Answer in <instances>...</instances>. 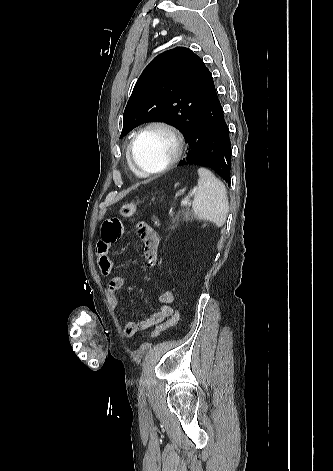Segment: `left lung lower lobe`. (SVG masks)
<instances>
[{"mask_svg":"<svg viewBox=\"0 0 333 471\" xmlns=\"http://www.w3.org/2000/svg\"><path fill=\"white\" fill-rule=\"evenodd\" d=\"M187 157L178 166L197 164L216 171L230 183L231 144L229 129L215 86L212 87L187 139Z\"/></svg>","mask_w":333,"mask_h":471,"instance_id":"left-lung-lower-lobe-1","label":"left lung lower lobe"}]
</instances>
